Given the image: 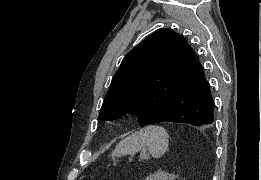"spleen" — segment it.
<instances>
[{"mask_svg":"<svg viewBox=\"0 0 261 180\" xmlns=\"http://www.w3.org/2000/svg\"><path fill=\"white\" fill-rule=\"evenodd\" d=\"M141 150H148L152 158H162L168 150V134L161 126H146L140 132H134L117 144L113 150L112 158L121 156H134Z\"/></svg>","mask_w":261,"mask_h":180,"instance_id":"obj_1","label":"spleen"}]
</instances>
